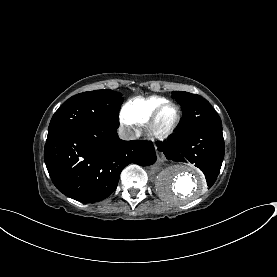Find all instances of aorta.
Masks as SVG:
<instances>
[{
	"mask_svg": "<svg viewBox=\"0 0 277 277\" xmlns=\"http://www.w3.org/2000/svg\"><path fill=\"white\" fill-rule=\"evenodd\" d=\"M159 194L171 204H184L206 191L203 175L185 164H171L163 169L156 181Z\"/></svg>",
	"mask_w": 277,
	"mask_h": 277,
	"instance_id": "aorta-1",
	"label": "aorta"
}]
</instances>
